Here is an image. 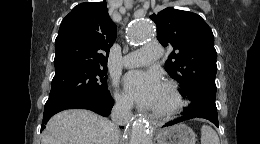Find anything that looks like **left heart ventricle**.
<instances>
[{
  "instance_id": "obj_1",
  "label": "left heart ventricle",
  "mask_w": 260,
  "mask_h": 144,
  "mask_svg": "<svg viewBox=\"0 0 260 144\" xmlns=\"http://www.w3.org/2000/svg\"><path fill=\"white\" fill-rule=\"evenodd\" d=\"M172 103L173 101L169 91L163 86L160 96L153 107L156 109L167 108L170 107Z\"/></svg>"
}]
</instances>
